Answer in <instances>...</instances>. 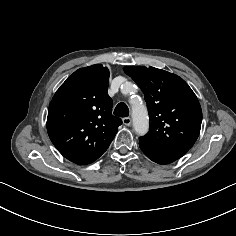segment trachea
Here are the masks:
<instances>
[{
	"label": "trachea",
	"instance_id": "obj_1",
	"mask_svg": "<svg viewBox=\"0 0 236 236\" xmlns=\"http://www.w3.org/2000/svg\"><path fill=\"white\" fill-rule=\"evenodd\" d=\"M114 115L118 117H127L129 115L128 106L125 103H119L114 110Z\"/></svg>",
	"mask_w": 236,
	"mask_h": 236
}]
</instances>
